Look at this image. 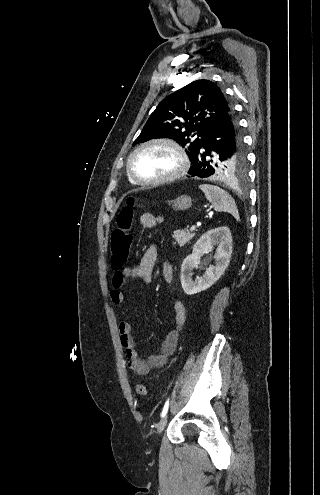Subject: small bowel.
Returning <instances> with one entry per match:
<instances>
[{
  "mask_svg": "<svg viewBox=\"0 0 320 495\" xmlns=\"http://www.w3.org/2000/svg\"><path fill=\"white\" fill-rule=\"evenodd\" d=\"M159 218L151 213H144L140 217V224L146 229H154L158 225ZM157 258V246L152 244L143 254L140 261L133 267H126L120 272H116L112 277L113 289L110 292V301L114 306L124 303L122 288L127 278H137L143 283H150L154 264ZM162 275L169 285L173 283V268L169 262L163 263ZM186 323V309L180 300L174 301L173 328L167 333L159 345V352L142 359L137 350L135 339L132 335L131 325L127 321H121L118 326L120 343L125 350L128 366L137 375H146L151 370L163 367L168 358L174 353L179 332Z\"/></svg>",
  "mask_w": 320,
  "mask_h": 495,
  "instance_id": "c3829d8e",
  "label": "small bowel"
}]
</instances>
